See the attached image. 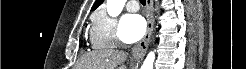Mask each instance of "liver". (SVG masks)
<instances>
[{
	"label": "liver",
	"instance_id": "1",
	"mask_svg": "<svg viewBox=\"0 0 246 69\" xmlns=\"http://www.w3.org/2000/svg\"><path fill=\"white\" fill-rule=\"evenodd\" d=\"M126 58L127 55L123 51L101 49L81 57L76 65V69H116Z\"/></svg>",
	"mask_w": 246,
	"mask_h": 69
}]
</instances>
